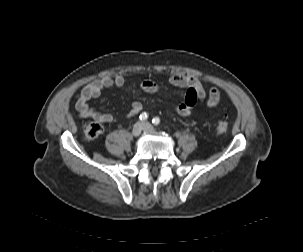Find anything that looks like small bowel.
<instances>
[{
  "label": "small bowel",
  "instance_id": "obj_1",
  "mask_svg": "<svg viewBox=\"0 0 303 252\" xmlns=\"http://www.w3.org/2000/svg\"><path fill=\"white\" fill-rule=\"evenodd\" d=\"M169 82L175 87L186 89L185 101L177 103L174 107L179 116H190L195 105L202 102H206L210 109H214L221 100V94L217 88L210 89L207 94L201 83L194 77L171 73ZM124 84L125 78L122 75H116L115 77L103 76L88 82L76 96V110L79 116L91 118L100 123L112 122L113 116L111 114L98 112L89 105V100L98 97L105 89L121 88ZM141 88L146 92L156 93L159 90V84L153 80L144 79L141 82ZM142 109L143 104L140 101H134L126 113V117L132 118L139 114Z\"/></svg>",
  "mask_w": 303,
  "mask_h": 252
}]
</instances>
